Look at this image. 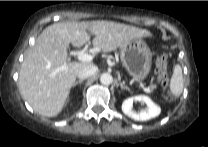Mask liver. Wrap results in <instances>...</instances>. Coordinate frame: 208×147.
<instances>
[{"label": "liver", "instance_id": "obj_1", "mask_svg": "<svg viewBox=\"0 0 208 147\" xmlns=\"http://www.w3.org/2000/svg\"><path fill=\"white\" fill-rule=\"evenodd\" d=\"M95 37L94 48L111 52L130 41L151 36L144 29L111 21L62 22L46 27L25 55L19 71V92L35 112L57 116L63 109L77 72L91 62H69L70 45L82 47ZM61 67H65L60 70Z\"/></svg>", "mask_w": 208, "mask_h": 147}]
</instances>
